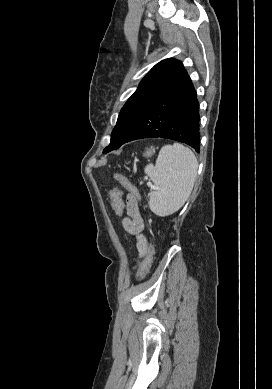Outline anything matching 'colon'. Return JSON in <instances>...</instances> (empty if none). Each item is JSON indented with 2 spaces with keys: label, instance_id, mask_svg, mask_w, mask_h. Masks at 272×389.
<instances>
[{
  "label": "colon",
  "instance_id": "1",
  "mask_svg": "<svg viewBox=\"0 0 272 389\" xmlns=\"http://www.w3.org/2000/svg\"><path fill=\"white\" fill-rule=\"evenodd\" d=\"M114 179L130 194L134 195L137 198L139 197L137 188L126 176L120 173H115ZM111 200H112V209L114 213L117 216H120L125 208V201L123 200L122 191L120 188H114L111 191ZM153 254H154L153 246L150 244L146 251L145 258L139 270V274H138L139 279H143L149 273L153 262Z\"/></svg>",
  "mask_w": 272,
  "mask_h": 389
}]
</instances>
